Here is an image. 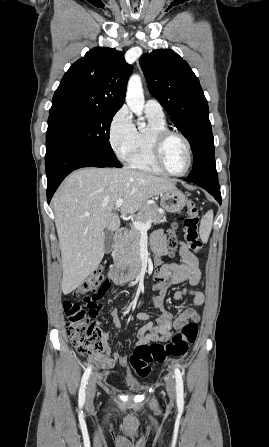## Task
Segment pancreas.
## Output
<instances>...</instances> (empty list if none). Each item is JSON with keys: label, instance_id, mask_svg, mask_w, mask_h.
<instances>
[{"label": "pancreas", "instance_id": "obj_1", "mask_svg": "<svg viewBox=\"0 0 269 447\" xmlns=\"http://www.w3.org/2000/svg\"><path fill=\"white\" fill-rule=\"evenodd\" d=\"M165 212L160 214L158 206L155 204H146L141 208L140 212L136 214L135 220L147 224L148 220H151L153 224H158L162 220ZM140 237L141 231L136 229L134 225H131L126 235H122L119 241L114 245V251L112 257L115 263H126V265H137L140 263Z\"/></svg>", "mask_w": 269, "mask_h": 447}]
</instances>
